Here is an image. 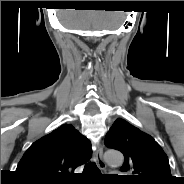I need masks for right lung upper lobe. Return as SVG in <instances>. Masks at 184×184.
<instances>
[{"label":"right lung upper lobe","mask_w":184,"mask_h":184,"mask_svg":"<svg viewBox=\"0 0 184 184\" xmlns=\"http://www.w3.org/2000/svg\"><path fill=\"white\" fill-rule=\"evenodd\" d=\"M90 141L71 124H63L34 142L23 155L17 173L28 182L62 184L91 158Z\"/></svg>","instance_id":"1"}]
</instances>
